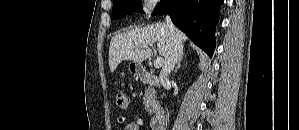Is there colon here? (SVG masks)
<instances>
[{"label": "colon", "mask_w": 299, "mask_h": 130, "mask_svg": "<svg viewBox=\"0 0 299 130\" xmlns=\"http://www.w3.org/2000/svg\"><path fill=\"white\" fill-rule=\"evenodd\" d=\"M116 104L121 109L127 108L129 104L128 96L124 92H118L116 95Z\"/></svg>", "instance_id": "colon-1"}]
</instances>
